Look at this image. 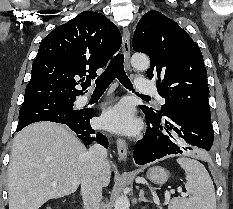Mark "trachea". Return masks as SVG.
<instances>
[{
    "instance_id": "obj_1",
    "label": "trachea",
    "mask_w": 233,
    "mask_h": 209,
    "mask_svg": "<svg viewBox=\"0 0 233 209\" xmlns=\"http://www.w3.org/2000/svg\"><path fill=\"white\" fill-rule=\"evenodd\" d=\"M117 78L119 82L127 89L135 91L133 89V85L128 78L125 70H124V56L121 53H118L116 56L112 58L106 70L103 72L101 76H99L96 81L95 90H106L111 82ZM138 95L150 98V96L142 95L137 93Z\"/></svg>"
}]
</instances>
